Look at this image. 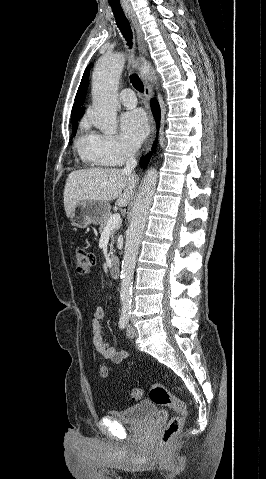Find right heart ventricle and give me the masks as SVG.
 I'll list each match as a JSON object with an SVG mask.
<instances>
[{
    "label": "right heart ventricle",
    "mask_w": 266,
    "mask_h": 479,
    "mask_svg": "<svg viewBox=\"0 0 266 479\" xmlns=\"http://www.w3.org/2000/svg\"><path fill=\"white\" fill-rule=\"evenodd\" d=\"M93 135L88 134L85 129L83 128L80 132L77 140H76V149L80 155V157L87 163L91 165L97 166H105L107 165L101 159L97 157L93 147Z\"/></svg>",
    "instance_id": "e07e8e85"
}]
</instances>
